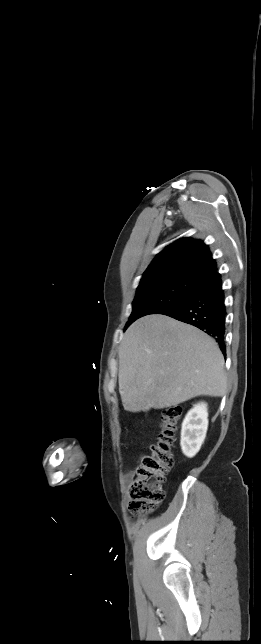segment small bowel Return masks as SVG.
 <instances>
[{"instance_id":"c3829d8e","label":"small bowel","mask_w":261,"mask_h":644,"mask_svg":"<svg viewBox=\"0 0 261 644\" xmlns=\"http://www.w3.org/2000/svg\"><path fill=\"white\" fill-rule=\"evenodd\" d=\"M134 475H135L134 470H128V471L125 473V475H124V480H125V482H126V483L131 482V481H132V479L134 478Z\"/></svg>"}]
</instances>
